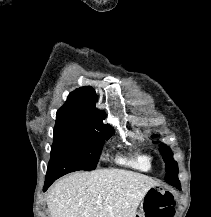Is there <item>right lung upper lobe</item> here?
<instances>
[{"label":"right lung upper lobe","instance_id":"obj_1","mask_svg":"<svg viewBox=\"0 0 211 217\" xmlns=\"http://www.w3.org/2000/svg\"><path fill=\"white\" fill-rule=\"evenodd\" d=\"M97 95L90 86L81 87L71 92L66 103L57 111L56 124L95 126L111 129L104 125V112L96 108Z\"/></svg>","mask_w":211,"mask_h":217}]
</instances>
